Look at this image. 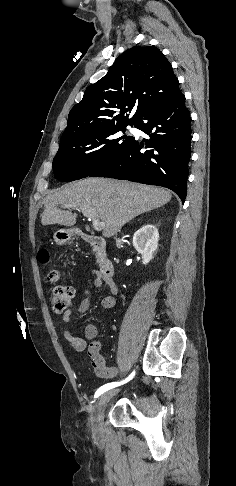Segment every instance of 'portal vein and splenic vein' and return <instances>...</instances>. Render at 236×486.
Masks as SVG:
<instances>
[{"label":"portal vein and splenic vein","instance_id":"portal-vein-and-splenic-vein-1","mask_svg":"<svg viewBox=\"0 0 236 486\" xmlns=\"http://www.w3.org/2000/svg\"><path fill=\"white\" fill-rule=\"evenodd\" d=\"M70 208V206H66ZM82 213L85 217L92 220L93 227L96 231H100L105 227V223L100 221L97 212L94 209H82Z\"/></svg>","mask_w":236,"mask_h":486}]
</instances>
